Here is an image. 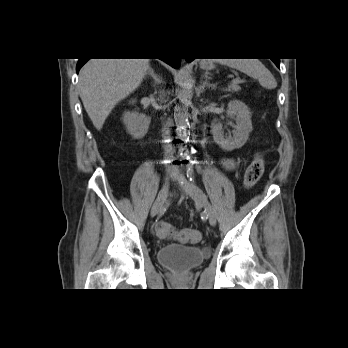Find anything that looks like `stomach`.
<instances>
[{
    "mask_svg": "<svg viewBox=\"0 0 348 348\" xmlns=\"http://www.w3.org/2000/svg\"><path fill=\"white\" fill-rule=\"evenodd\" d=\"M201 67L205 70H210L213 68V63L211 61H202Z\"/></svg>",
    "mask_w": 348,
    "mask_h": 348,
    "instance_id": "0dacf381",
    "label": "stomach"
}]
</instances>
